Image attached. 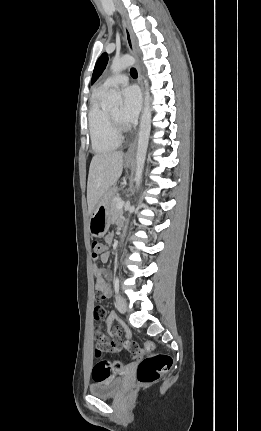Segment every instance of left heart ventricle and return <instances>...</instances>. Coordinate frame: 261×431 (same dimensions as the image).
Returning <instances> with one entry per match:
<instances>
[{
    "instance_id": "left-heart-ventricle-1",
    "label": "left heart ventricle",
    "mask_w": 261,
    "mask_h": 431,
    "mask_svg": "<svg viewBox=\"0 0 261 431\" xmlns=\"http://www.w3.org/2000/svg\"><path fill=\"white\" fill-rule=\"evenodd\" d=\"M110 113L115 119L120 121V109L119 108H115V109L111 110Z\"/></svg>"
}]
</instances>
